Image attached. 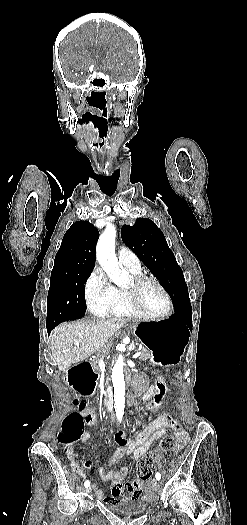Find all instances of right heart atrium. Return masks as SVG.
Segmentation results:
<instances>
[{
	"instance_id": "1",
	"label": "right heart atrium",
	"mask_w": 247,
	"mask_h": 525,
	"mask_svg": "<svg viewBox=\"0 0 247 525\" xmlns=\"http://www.w3.org/2000/svg\"><path fill=\"white\" fill-rule=\"evenodd\" d=\"M116 291L104 271L95 266L85 281L84 297L90 313L103 316L114 304Z\"/></svg>"
}]
</instances>
